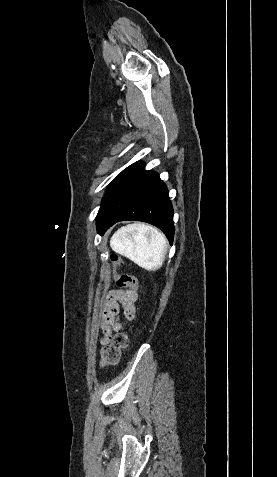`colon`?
I'll use <instances>...</instances> for the list:
<instances>
[{
	"instance_id": "1",
	"label": "colon",
	"mask_w": 277,
	"mask_h": 477,
	"mask_svg": "<svg viewBox=\"0 0 277 477\" xmlns=\"http://www.w3.org/2000/svg\"><path fill=\"white\" fill-rule=\"evenodd\" d=\"M112 264L114 269L116 270L121 265H123V260L118 255H113ZM115 280L116 284L119 287H126L129 286L130 292H135L136 296L140 295L139 286L137 285V280L134 276L129 274H118L115 272ZM119 311L125 310L124 304L118 305ZM114 320L117 324L121 323V315L115 314ZM129 339L128 335L125 332L116 333L111 337L110 342L105 345L101 350V359H100V366L105 367L108 365H115L118 363L120 358V353L122 350L128 347Z\"/></svg>"
}]
</instances>
